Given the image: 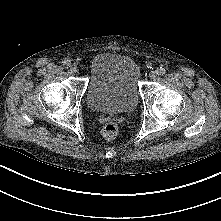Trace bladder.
<instances>
[{"label":"bladder","mask_w":221,"mask_h":221,"mask_svg":"<svg viewBox=\"0 0 221 221\" xmlns=\"http://www.w3.org/2000/svg\"><path fill=\"white\" fill-rule=\"evenodd\" d=\"M139 64L130 56L106 51L90 63L86 101L102 113H128L139 101Z\"/></svg>","instance_id":"obj_1"}]
</instances>
